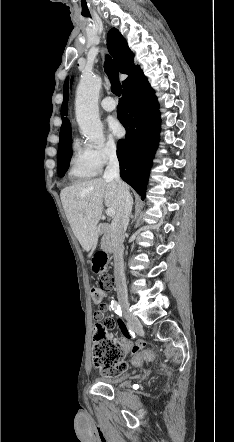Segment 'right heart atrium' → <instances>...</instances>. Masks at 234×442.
<instances>
[{
	"instance_id": "d8ad5b80",
	"label": "right heart atrium",
	"mask_w": 234,
	"mask_h": 442,
	"mask_svg": "<svg viewBox=\"0 0 234 442\" xmlns=\"http://www.w3.org/2000/svg\"><path fill=\"white\" fill-rule=\"evenodd\" d=\"M118 154L117 144L109 139L104 144L92 148L94 161L99 169L113 161Z\"/></svg>"
}]
</instances>
